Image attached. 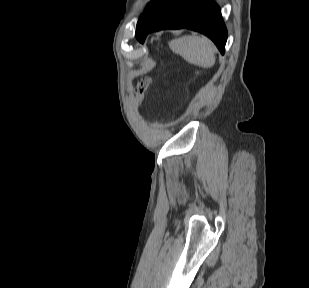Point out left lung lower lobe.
Wrapping results in <instances>:
<instances>
[{"instance_id":"1","label":"left lung lower lobe","mask_w":309,"mask_h":288,"mask_svg":"<svg viewBox=\"0 0 309 288\" xmlns=\"http://www.w3.org/2000/svg\"><path fill=\"white\" fill-rule=\"evenodd\" d=\"M179 28L205 34L224 54L227 30L220 8L211 0H159L136 32V38L144 43L150 32Z\"/></svg>"}]
</instances>
